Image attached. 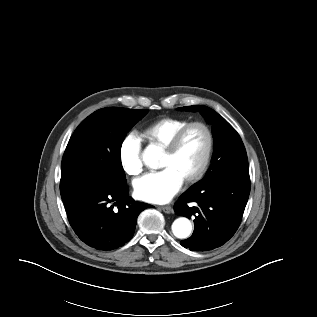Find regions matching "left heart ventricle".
<instances>
[{
    "instance_id": "obj_1",
    "label": "left heart ventricle",
    "mask_w": 317,
    "mask_h": 317,
    "mask_svg": "<svg viewBox=\"0 0 317 317\" xmlns=\"http://www.w3.org/2000/svg\"><path fill=\"white\" fill-rule=\"evenodd\" d=\"M207 148V135L201 127L191 128L176 154H163L161 168L170 167L185 180L200 167Z\"/></svg>"
}]
</instances>
